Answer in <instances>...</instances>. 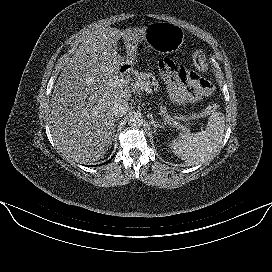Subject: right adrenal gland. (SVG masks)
I'll return each mask as SVG.
<instances>
[{
  "mask_svg": "<svg viewBox=\"0 0 272 272\" xmlns=\"http://www.w3.org/2000/svg\"><path fill=\"white\" fill-rule=\"evenodd\" d=\"M118 120H119V118H115V119L113 120V125H114L113 134H115V127H116L115 122H117Z\"/></svg>",
  "mask_w": 272,
  "mask_h": 272,
  "instance_id": "2a0ac1e0",
  "label": "right adrenal gland"
}]
</instances>
